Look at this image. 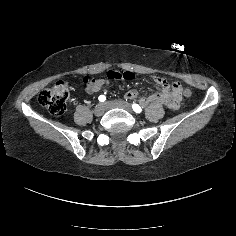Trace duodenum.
Listing matches in <instances>:
<instances>
[{"label":"duodenum","mask_w":236,"mask_h":236,"mask_svg":"<svg viewBox=\"0 0 236 236\" xmlns=\"http://www.w3.org/2000/svg\"><path fill=\"white\" fill-rule=\"evenodd\" d=\"M160 87L161 90L159 93L141 99L140 103L143 106H147L152 103L161 102L167 105L169 108L175 109L179 103L178 93L170 92L166 84H160Z\"/></svg>","instance_id":"duodenum-1"}]
</instances>
